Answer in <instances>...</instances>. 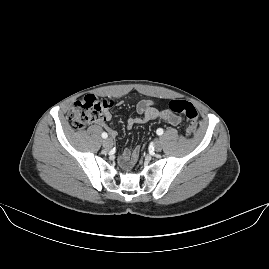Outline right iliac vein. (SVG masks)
<instances>
[{
  "instance_id": "obj_1",
  "label": "right iliac vein",
  "mask_w": 269,
  "mask_h": 269,
  "mask_svg": "<svg viewBox=\"0 0 269 269\" xmlns=\"http://www.w3.org/2000/svg\"><path fill=\"white\" fill-rule=\"evenodd\" d=\"M102 144L104 148L109 149L113 146V141L111 138H108V139L103 140Z\"/></svg>"
}]
</instances>
